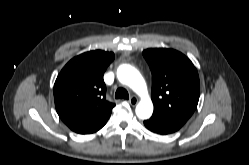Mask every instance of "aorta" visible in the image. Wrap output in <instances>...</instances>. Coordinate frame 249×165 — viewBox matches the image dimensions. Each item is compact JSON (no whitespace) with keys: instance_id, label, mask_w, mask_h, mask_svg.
Here are the masks:
<instances>
[{"instance_id":"aorta-1","label":"aorta","mask_w":249,"mask_h":165,"mask_svg":"<svg viewBox=\"0 0 249 165\" xmlns=\"http://www.w3.org/2000/svg\"><path fill=\"white\" fill-rule=\"evenodd\" d=\"M117 77L121 83L129 86L141 97L136 106V115L140 119L150 118L153 113V103L148 96L147 86L141 74L135 68L123 65L119 67Z\"/></svg>"}]
</instances>
